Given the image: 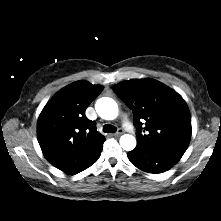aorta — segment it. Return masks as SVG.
<instances>
[{
    "label": "aorta",
    "mask_w": 221,
    "mask_h": 221,
    "mask_svg": "<svg viewBox=\"0 0 221 221\" xmlns=\"http://www.w3.org/2000/svg\"><path fill=\"white\" fill-rule=\"evenodd\" d=\"M95 109L98 115L105 120H113L118 116V105L109 97H102L97 100ZM120 145L126 151L136 147V139L133 135L124 134L120 137Z\"/></svg>",
    "instance_id": "obj_1"
}]
</instances>
